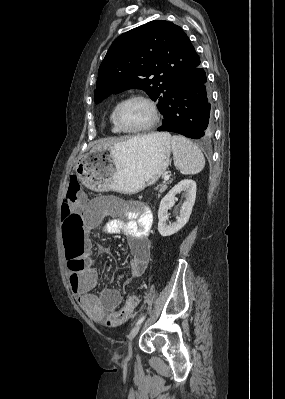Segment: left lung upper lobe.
<instances>
[{
    "label": "left lung upper lobe",
    "instance_id": "1",
    "mask_svg": "<svg viewBox=\"0 0 285 399\" xmlns=\"http://www.w3.org/2000/svg\"><path fill=\"white\" fill-rule=\"evenodd\" d=\"M199 60L181 27L168 21H150L112 43L99 67L95 103L112 93L143 89L158 101L164 115L176 81Z\"/></svg>",
    "mask_w": 285,
    "mask_h": 399
}]
</instances>
